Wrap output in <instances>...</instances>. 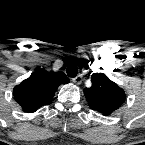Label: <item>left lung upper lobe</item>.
<instances>
[{"label": "left lung upper lobe", "mask_w": 145, "mask_h": 145, "mask_svg": "<svg viewBox=\"0 0 145 145\" xmlns=\"http://www.w3.org/2000/svg\"><path fill=\"white\" fill-rule=\"evenodd\" d=\"M92 86L84 89L88 105L105 116L111 115L125 101L124 90L103 73H93Z\"/></svg>", "instance_id": "obj_1"}]
</instances>
